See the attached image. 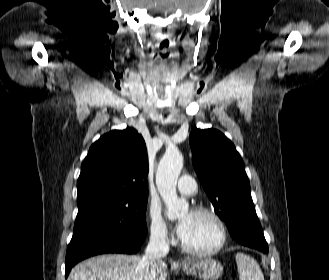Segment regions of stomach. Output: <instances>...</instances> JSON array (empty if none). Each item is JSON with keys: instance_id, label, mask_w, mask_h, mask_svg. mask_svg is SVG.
Wrapping results in <instances>:
<instances>
[{"instance_id": "obj_1", "label": "stomach", "mask_w": 329, "mask_h": 280, "mask_svg": "<svg viewBox=\"0 0 329 280\" xmlns=\"http://www.w3.org/2000/svg\"><path fill=\"white\" fill-rule=\"evenodd\" d=\"M184 273L203 280H216L223 272L222 265L213 259H201L182 265Z\"/></svg>"}]
</instances>
